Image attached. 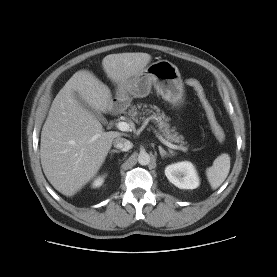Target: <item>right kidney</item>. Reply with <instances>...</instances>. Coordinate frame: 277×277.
Instances as JSON below:
<instances>
[{"label":"right kidney","instance_id":"ca27d5eb","mask_svg":"<svg viewBox=\"0 0 277 277\" xmlns=\"http://www.w3.org/2000/svg\"><path fill=\"white\" fill-rule=\"evenodd\" d=\"M104 182V177H98L94 180V182L92 183L93 187H100Z\"/></svg>","mask_w":277,"mask_h":277}]
</instances>
